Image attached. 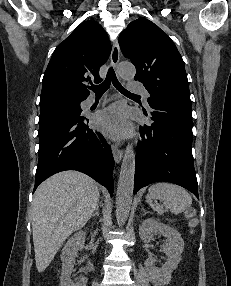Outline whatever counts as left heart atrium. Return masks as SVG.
<instances>
[{
  "mask_svg": "<svg viewBox=\"0 0 231 286\" xmlns=\"http://www.w3.org/2000/svg\"><path fill=\"white\" fill-rule=\"evenodd\" d=\"M96 127L112 139H121L129 131L126 108L122 104L111 105L95 117Z\"/></svg>",
  "mask_w": 231,
  "mask_h": 286,
  "instance_id": "left-heart-atrium-1",
  "label": "left heart atrium"
}]
</instances>
